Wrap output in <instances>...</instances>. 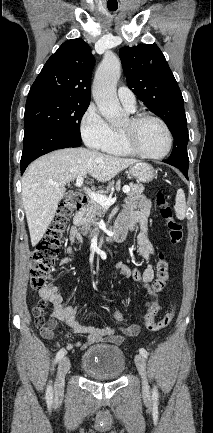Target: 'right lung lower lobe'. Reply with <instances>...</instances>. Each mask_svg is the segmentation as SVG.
Instances as JSON below:
<instances>
[{"label":"right lung lower lobe","mask_w":213,"mask_h":433,"mask_svg":"<svg viewBox=\"0 0 213 433\" xmlns=\"http://www.w3.org/2000/svg\"><path fill=\"white\" fill-rule=\"evenodd\" d=\"M21 174L34 159L56 149L79 147L78 141L62 132L44 125H30L25 128Z\"/></svg>","instance_id":"98d812e1"}]
</instances>
